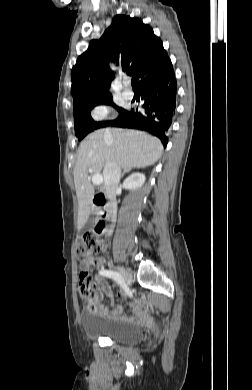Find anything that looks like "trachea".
Returning a JSON list of instances; mask_svg holds the SVG:
<instances>
[{
    "label": "trachea",
    "mask_w": 252,
    "mask_h": 390,
    "mask_svg": "<svg viewBox=\"0 0 252 390\" xmlns=\"http://www.w3.org/2000/svg\"><path fill=\"white\" fill-rule=\"evenodd\" d=\"M131 84H132V87L133 88H136V83H135V81L132 79V81H131Z\"/></svg>",
    "instance_id": "trachea-1"
}]
</instances>
